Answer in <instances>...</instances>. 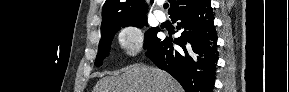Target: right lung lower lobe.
<instances>
[{"mask_svg": "<svg viewBox=\"0 0 289 92\" xmlns=\"http://www.w3.org/2000/svg\"><path fill=\"white\" fill-rule=\"evenodd\" d=\"M170 18L183 30L174 40L178 47H173L172 40L157 38L146 56L179 81L186 92H212L218 52L210 0Z\"/></svg>", "mask_w": 289, "mask_h": 92, "instance_id": "98d812e1", "label": "right lung lower lobe"}]
</instances>
